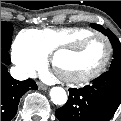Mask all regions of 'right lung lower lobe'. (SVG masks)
<instances>
[{
	"instance_id": "98d812e1",
	"label": "right lung lower lobe",
	"mask_w": 121,
	"mask_h": 121,
	"mask_svg": "<svg viewBox=\"0 0 121 121\" xmlns=\"http://www.w3.org/2000/svg\"><path fill=\"white\" fill-rule=\"evenodd\" d=\"M1 62L8 65L10 58L6 50H1ZM29 87L36 89L35 82L28 79L17 81L7 72L5 65L1 64V121H11L17 112V107L23 93Z\"/></svg>"
}]
</instances>
